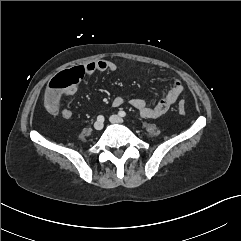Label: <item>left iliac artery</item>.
I'll return each mask as SVG.
<instances>
[{"label": "left iliac artery", "instance_id": "obj_1", "mask_svg": "<svg viewBox=\"0 0 241 241\" xmlns=\"http://www.w3.org/2000/svg\"><path fill=\"white\" fill-rule=\"evenodd\" d=\"M118 114H119V116H121V117H125V116H126V112L123 111V110L119 111Z\"/></svg>", "mask_w": 241, "mask_h": 241}]
</instances>
